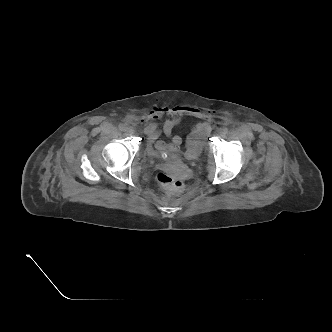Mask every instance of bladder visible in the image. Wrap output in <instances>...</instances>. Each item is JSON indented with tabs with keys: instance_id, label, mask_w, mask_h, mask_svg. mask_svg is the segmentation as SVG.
<instances>
[{
	"instance_id": "1",
	"label": "bladder",
	"mask_w": 332,
	"mask_h": 332,
	"mask_svg": "<svg viewBox=\"0 0 332 332\" xmlns=\"http://www.w3.org/2000/svg\"><path fill=\"white\" fill-rule=\"evenodd\" d=\"M203 152V147H198L195 149H191L189 146L186 145L184 151H183V156L185 159L189 161H194L197 160Z\"/></svg>"
}]
</instances>
